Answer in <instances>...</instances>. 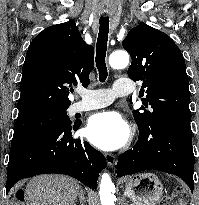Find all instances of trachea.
Instances as JSON below:
<instances>
[{"label": "trachea", "mask_w": 199, "mask_h": 205, "mask_svg": "<svg viewBox=\"0 0 199 205\" xmlns=\"http://www.w3.org/2000/svg\"><path fill=\"white\" fill-rule=\"evenodd\" d=\"M99 23L100 28L96 44V66L99 72V80L105 82L108 76L105 58L109 33V18L101 17Z\"/></svg>", "instance_id": "trachea-1"}]
</instances>
